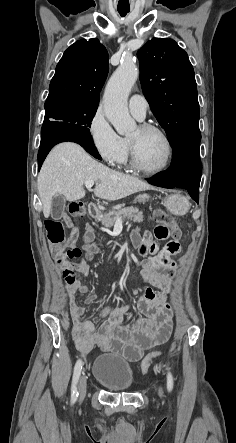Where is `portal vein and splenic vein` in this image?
<instances>
[{
  "instance_id": "portal-vein-and-splenic-vein-1",
  "label": "portal vein and splenic vein",
  "mask_w": 236,
  "mask_h": 443,
  "mask_svg": "<svg viewBox=\"0 0 236 443\" xmlns=\"http://www.w3.org/2000/svg\"><path fill=\"white\" fill-rule=\"evenodd\" d=\"M93 185H94V181L89 180V181H86V182H85V186H86L87 189L92 188ZM117 221H118V222H121V219L118 218Z\"/></svg>"
}]
</instances>
